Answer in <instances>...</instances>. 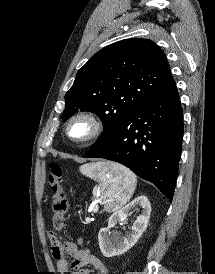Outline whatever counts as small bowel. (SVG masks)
<instances>
[{"label":"small bowel","mask_w":215,"mask_h":274,"mask_svg":"<svg viewBox=\"0 0 215 274\" xmlns=\"http://www.w3.org/2000/svg\"><path fill=\"white\" fill-rule=\"evenodd\" d=\"M50 242L59 273L90 274L91 271L88 267H92L97 271V274H108L107 267L89 249L84 247L81 239L77 242L50 239ZM67 255L72 258V261L68 260Z\"/></svg>","instance_id":"obj_1"}]
</instances>
